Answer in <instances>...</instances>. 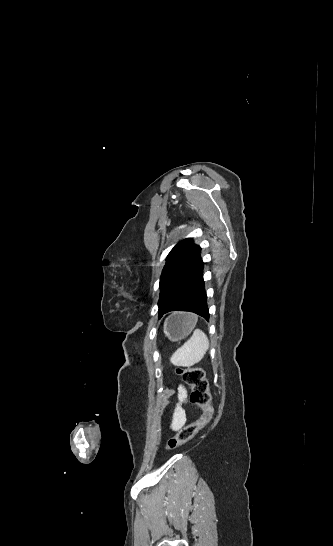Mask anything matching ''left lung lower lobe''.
Instances as JSON below:
<instances>
[{"label": "left lung lower lobe", "mask_w": 333, "mask_h": 546, "mask_svg": "<svg viewBox=\"0 0 333 546\" xmlns=\"http://www.w3.org/2000/svg\"><path fill=\"white\" fill-rule=\"evenodd\" d=\"M203 268L199 255L177 275L167 290L159 317L170 311H189L209 320Z\"/></svg>", "instance_id": "0a47b994"}]
</instances>
